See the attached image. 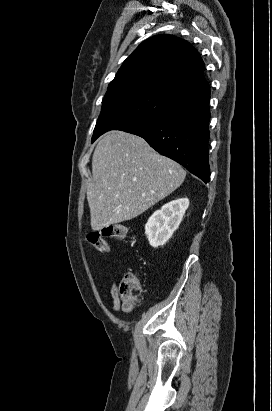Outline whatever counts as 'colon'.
Segmentation results:
<instances>
[{"label":"colon","mask_w":272,"mask_h":411,"mask_svg":"<svg viewBox=\"0 0 272 411\" xmlns=\"http://www.w3.org/2000/svg\"><path fill=\"white\" fill-rule=\"evenodd\" d=\"M127 231L128 228L124 223H113L105 225L99 231L90 233L87 239L92 247L106 253L110 250L106 238L122 239L126 236ZM140 293L141 286L137 275L134 272L125 273L118 287V297L125 311L132 310Z\"/></svg>","instance_id":"5ec220e1"}]
</instances>
